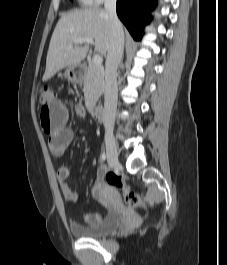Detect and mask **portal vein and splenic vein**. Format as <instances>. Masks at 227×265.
I'll return each instance as SVG.
<instances>
[{
  "label": "portal vein and splenic vein",
  "instance_id": "18ae733b",
  "mask_svg": "<svg viewBox=\"0 0 227 265\" xmlns=\"http://www.w3.org/2000/svg\"><path fill=\"white\" fill-rule=\"evenodd\" d=\"M74 43L76 44H83V43H88V44H94V40L92 38H77L74 40ZM92 62L96 65V66H100L102 65L103 62V58L100 55H94L92 58Z\"/></svg>",
  "mask_w": 227,
  "mask_h": 265
}]
</instances>
